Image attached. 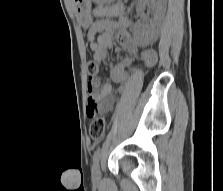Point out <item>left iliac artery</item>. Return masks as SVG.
Listing matches in <instances>:
<instances>
[{"label":"left iliac artery","instance_id":"1","mask_svg":"<svg viewBox=\"0 0 223 191\" xmlns=\"http://www.w3.org/2000/svg\"><path fill=\"white\" fill-rule=\"evenodd\" d=\"M101 154H102V149L98 148L93 155V162L94 163H98L100 158H101Z\"/></svg>","mask_w":223,"mask_h":191}]
</instances>
